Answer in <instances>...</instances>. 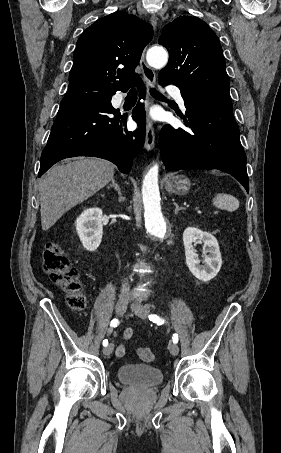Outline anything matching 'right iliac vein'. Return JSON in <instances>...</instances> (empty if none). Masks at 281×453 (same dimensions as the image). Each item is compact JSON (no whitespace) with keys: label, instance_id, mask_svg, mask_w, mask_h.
<instances>
[{"label":"right iliac vein","instance_id":"obj_1","mask_svg":"<svg viewBox=\"0 0 281 453\" xmlns=\"http://www.w3.org/2000/svg\"><path fill=\"white\" fill-rule=\"evenodd\" d=\"M128 305V301H117V303L115 304V311L117 312L116 314L119 316L121 313L120 312H125L126 311V306ZM114 345H109V346H105V348L103 349V353L105 355H110L114 349Z\"/></svg>","mask_w":281,"mask_h":453}]
</instances>
